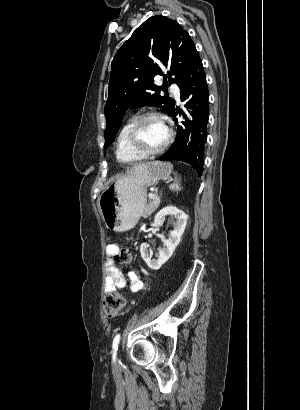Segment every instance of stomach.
<instances>
[{
	"label": "stomach",
	"mask_w": 300,
	"mask_h": 410,
	"mask_svg": "<svg viewBox=\"0 0 300 410\" xmlns=\"http://www.w3.org/2000/svg\"><path fill=\"white\" fill-rule=\"evenodd\" d=\"M169 163L152 162L133 168L108 186L99 197V209L105 225L116 232L132 229L146 205V188L170 176Z\"/></svg>",
	"instance_id": "stomach-1"
}]
</instances>
